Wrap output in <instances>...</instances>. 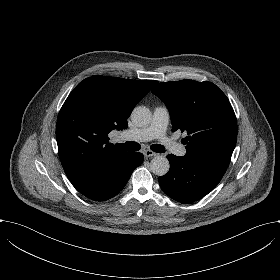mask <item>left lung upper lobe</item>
<instances>
[{
	"label": "left lung upper lobe",
	"instance_id": "5c2ea615",
	"mask_svg": "<svg viewBox=\"0 0 280 280\" xmlns=\"http://www.w3.org/2000/svg\"><path fill=\"white\" fill-rule=\"evenodd\" d=\"M152 93L169 108L172 130L186 132V156L228 166L237 141V121L225 94L211 82H162Z\"/></svg>",
	"mask_w": 280,
	"mask_h": 280
}]
</instances>
